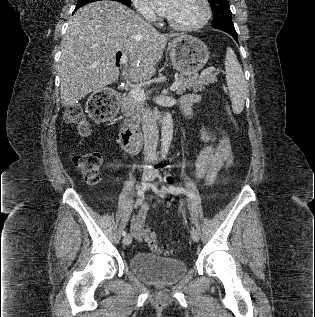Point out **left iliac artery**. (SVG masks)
Returning a JSON list of instances; mask_svg holds the SVG:
<instances>
[{
	"label": "left iliac artery",
	"instance_id": "left-iliac-artery-1",
	"mask_svg": "<svg viewBox=\"0 0 315 317\" xmlns=\"http://www.w3.org/2000/svg\"><path fill=\"white\" fill-rule=\"evenodd\" d=\"M163 190L171 193V194H187L190 195V192L187 191L183 187H175L174 185H163L162 188Z\"/></svg>",
	"mask_w": 315,
	"mask_h": 317
}]
</instances>
